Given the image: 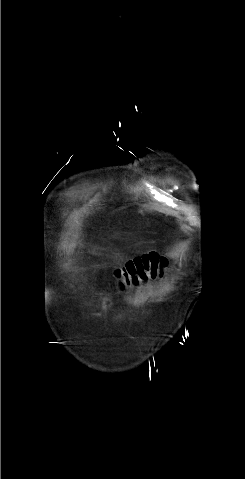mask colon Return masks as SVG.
Instances as JSON below:
<instances>
[{
	"mask_svg": "<svg viewBox=\"0 0 245 479\" xmlns=\"http://www.w3.org/2000/svg\"><path fill=\"white\" fill-rule=\"evenodd\" d=\"M168 267V262L156 253H148L129 260L116 270V275L126 285L137 284L147 278H154Z\"/></svg>",
	"mask_w": 245,
	"mask_h": 479,
	"instance_id": "5ec220e1",
	"label": "colon"
}]
</instances>
